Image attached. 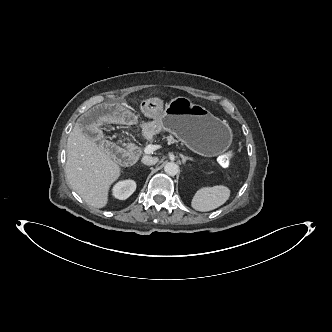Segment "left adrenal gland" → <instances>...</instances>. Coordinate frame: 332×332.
<instances>
[{"label":"left adrenal gland","instance_id":"left-adrenal-gland-1","mask_svg":"<svg viewBox=\"0 0 332 332\" xmlns=\"http://www.w3.org/2000/svg\"><path fill=\"white\" fill-rule=\"evenodd\" d=\"M180 157L182 158V163L185 164L187 160H193L190 157L184 156L183 154H180Z\"/></svg>","mask_w":332,"mask_h":332}]
</instances>
